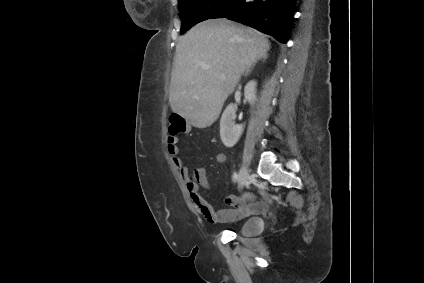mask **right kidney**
<instances>
[{"label": "right kidney", "mask_w": 424, "mask_h": 283, "mask_svg": "<svg viewBox=\"0 0 424 283\" xmlns=\"http://www.w3.org/2000/svg\"><path fill=\"white\" fill-rule=\"evenodd\" d=\"M256 82L254 80L249 81L244 88L245 99L253 104L256 96ZM236 118V106L234 104H229L221 117L220 120V137L223 144L226 147H233L240 139L243 132V125L235 124Z\"/></svg>", "instance_id": "right-kidney-1"}]
</instances>
